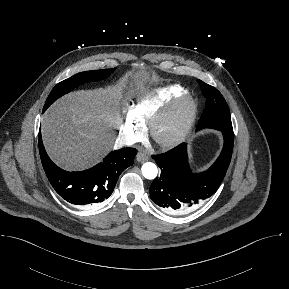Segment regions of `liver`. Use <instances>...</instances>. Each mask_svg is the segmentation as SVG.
<instances>
[{"label": "liver", "mask_w": 289, "mask_h": 289, "mask_svg": "<svg viewBox=\"0 0 289 289\" xmlns=\"http://www.w3.org/2000/svg\"><path fill=\"white\" fill-rule=\"evenodd\" d=\"M148 75L146 70L129 72L115 85L74 91L52 104L42 117L43 143L50 158L68 171L95 165L114 143L121 101L132 88L129 79L139 81Z\"/></svg>", "instance_id": "liver-1"}]
</instances>
